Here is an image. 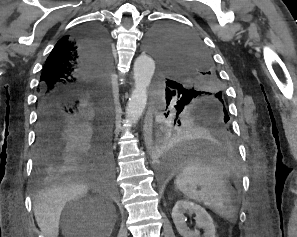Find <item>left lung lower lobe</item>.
Returning <instances> with one entry per match:
<instances>
[{
	"label": "left lung lower lobe",
	"mask_w": 297,
	"mask_h": 237,
	"mask_svg": "<svg viewBox=\"0 0 297 237\" xmlns=\"http://www.w3.org/2000/svg\"><path fill=\"white\" fill-rule=\"evenodd\" d=\"M174 96H179L175 107L177 114L183 116V123L174 135L161 143L158 149L160 165L176 168L194 160L230 156L235 150V141L229 118L204 105L188 107L176 90L167 87L166 100L170 101Z\"/></svg>",
	"instance_id": "1"
}]
</instances>
